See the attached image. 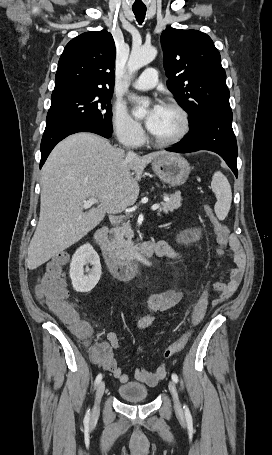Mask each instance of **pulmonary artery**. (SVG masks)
<instances>
[{
    "instance_id": "1",
    "label": "pulmonary artery",
    "mask_w": 272,
    "mask_h": 455,
    "mask_svg": "<svg viewBox=\"0 0 272 455\" xmlns=\"http://www.w3.org/2000/svg\"><path fill=\"white\" fill-rule=\"evenodd\" d=\"M158 82V74L155 68H147L135 80L133 87L138 90H149L156 86Z\"/></svg>"
}]
</instances>
